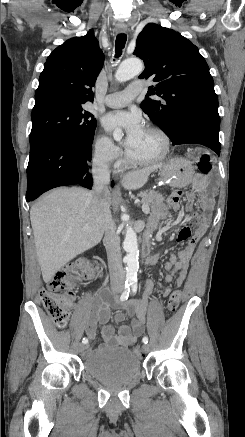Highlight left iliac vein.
Instances as JSON below:
<instances>
[{
    "instance_id": "1",
    "label": "left iliac vein",
    "mask_w": 245,
    "mask_h": 437,
    "mask_svg": "<svg viewBox=\"0 0 245 437\" xmlns=\"http://www.w3.org/2000/svg\"><path fill=\"white\" fill-rule=\"evenodd\" d=\"M149 349H150V347H149L148 344H144V345H143V351H144V352H148Z\"/></svg>"
}]
</instances>
